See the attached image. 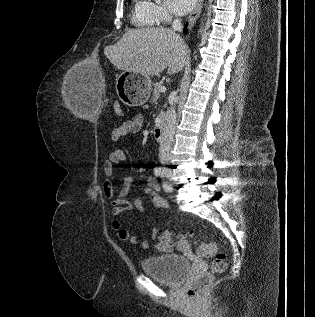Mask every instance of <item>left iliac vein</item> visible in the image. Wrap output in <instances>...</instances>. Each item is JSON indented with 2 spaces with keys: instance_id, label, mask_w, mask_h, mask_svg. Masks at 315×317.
I'll list each match as a JSON object with an SVG mask.
<instances>
[{
  "instance_id": "1",
  "label": "left iliac vein",
  "mask_w": 315,
  "mask_h": 317,
  "mask_svg": "<svg viewBox=\"0 0 315 317\" xmlns=\"http://www.w3.org/2000/svg\"><path fill=\"white\" fill-rule=\"evenodd\" d=\"M162 177H165V173L162 174ZM164 185L167 186L166 191L167 192H171L172 191V187L169 183L165 182Z\"/></svg>"
}]
</instances>
